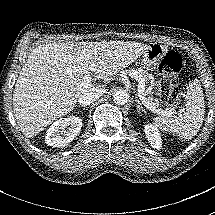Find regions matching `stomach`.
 <instances>
[{
    "label": "stomach",
    "instance_id": "stomach-1",
    "mask_svg": "<svg viewBox=\"0 0 215 215\" xmlns=\"http://www.w3.org/2000/svg\"><path fill=\"white\" fill-rule=\"evenodd\" d=\"M169 51L170 50L167 45L152 43L141 55V64L147 68L155 70L158 68L161 61L165 58Z\"/></svg>",
    "mask_w": 215,
    "mask_h": 215
}]
</instances>
